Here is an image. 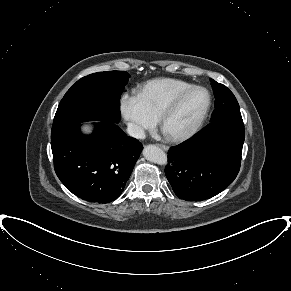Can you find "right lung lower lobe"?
Returning <instances> with one entry per match:
<instances>
[{"label": "right lung lower lobe", "instance_id": "right-lung-lower-lobe-1", "mask_svg": "<svg viewBox=\"0 0 291 291\" xmlns=\"http://www.w3.org/2000/svg\"><path fill=\"white\" fill-rule=\"evenodd\" d=\"M55 172L63 185L89 202L107 203L123 192L142 144L116 123L100 122L84 135L80 125L51 139Z\"/></svg>", "mask_w": 291, "mask_h": 291}]
</instances>
